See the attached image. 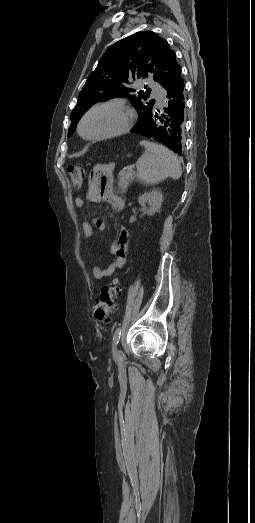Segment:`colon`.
Here are the masks:
<instances>
[{"label": "colon", "instance_id": "1", "mask_svg": "<svg viewBox=\"0 0 255 523\" xmlns=\"http://www.w3.org/2000/svg\"><path fill=\"white\" fill-rule=\"evenodd\" d=\"M68 174L72 185L81 188L84 183L85 171L78 166H70ZM121 294L118 281L114 280L104 285L93 305V315L100 322H109L113 312L117 308V300Z\"/></svg>", "mask_w": 255, "mask_h": 523}]
</instances>
